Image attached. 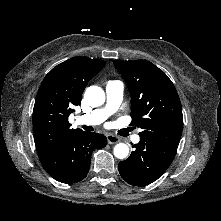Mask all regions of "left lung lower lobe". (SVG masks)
<instances>
[{
  "mask_svg": "<svg viewBox=\"0 0 221 221\" xmlns=\"http://www.w3.org/2000/svg\"><path fill=\"white\" fill-rule=\"evenodd\" d=\"M130 157L119 163L122 178L134 186H145L157 180L172 163L177 148L140 137Z\"/></svg>",
  "mask_w": 221,
  "mask_h": 221,
  "instance_id": "1",
  "label": "left lung lower lobe"
}]
</instances>
